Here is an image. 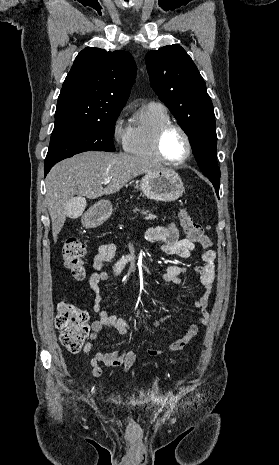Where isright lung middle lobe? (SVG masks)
Listing matches in <instances>:
<instances>
[{"mask_svg":"<svg viewBox=\"0 0 279 465\" xmlns=\"http://www.w3.org/2000/svg\"><path fill=\"white\" fill-rule=\"evenodd\" d=\"M121 110L110 111L100 119L56 125L51 134L45 167L84 151L114 152V127Z\"/></svg>","mask_w":279,"mask_h":465,"instance_id":"right-lung-middle-lobe-1","label":"right lung middle lobe"}]
</instances>
